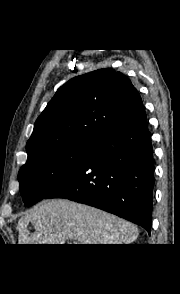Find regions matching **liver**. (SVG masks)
<instances>
[{
  "label": "liver",
  "instance_id": "6515ba94",
  "mask_svg": "<svg viewBox=\"0 0 180 294\" xmlns=\"http://www.w3.org/2000/svg\"><path fill=\"white\" fill-rule=\"evenodd\" d=\"M29 223L35 228L28 230ZM19 244H131L139 231L132 223L105 211L66 199L45 201L17 225Z\"/></svg>",
  "mask_w": 180,
  "mask_h": 294
}]
</instances>
